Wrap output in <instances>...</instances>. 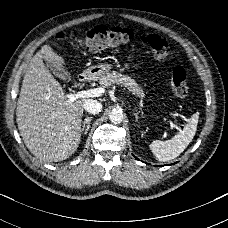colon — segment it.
I'll return each mask as SVG.
<instances>
[{
  "label": "colon",
  "mask_w": 228,
  "mask_h": 228,
  "mask_svg": "<svg viewBox=\"0 0 228 228\" xmlns=\"http://www.w3.org/2000/svg\"><path fill=\"white\" fill-rule=\"evenodd\" d=\"M72 35V31L59 32L55 38L61 40L70 38ZM134 40L135 34L129 28L118 27L108 29L104 26H96L88 29L78 43L89 50L95 51L107 48L118 49L120 45L130 43ZM145 41L154 49L159 59L170 61L173 58V52L168 42L162 37L149 35L145 38ZM171 83L172 89L177 96L184 97L187 95L186 73L181 67H176L173 70Z\"/></svg>",
  "instance_id": "5ec220e1"
}]
</instances>
